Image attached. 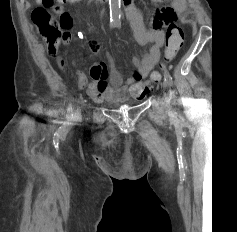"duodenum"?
<instances>
[{
  "mask_svg": "<svg viewBox=\"0 0 237 232\" xmlns=\"http://www.w3.org/2000/svg\"><path fill=\"white\" fill-rule=\"evenodd\" d=\"M95 2H104L105 0H92ZM124 4L126 7H128L131 4V0H124Z\"/></svg>",
  "mask_w": 237,
  "mask_h": 232,
  "instance_id": "duodenum-1",
  "label": "duodenum"
}]
</instances>
